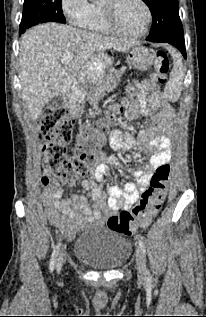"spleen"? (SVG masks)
<instances>
[{
    "mask_svg": "<svg viewBox=\"0 0 206 317\" xmlns=\"http://www.w3.org/2000/svg\"><path fill=\"white\" fill-rule=\"evenodd\" d=\"M173 58V69L170 73L169 81L164 88V97L170 102H176L182 91L184 79V67L180 54L172 47H167Z\"/></svg>",
    "mask_w": 206,
    "mask_h": 317,
    "instance_id": "obj_1",
    "label": "spleen"
}]
</instances>
